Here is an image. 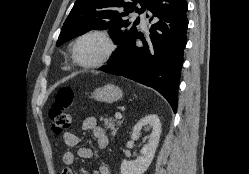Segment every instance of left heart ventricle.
Instances as JSON below:
<instances>
[{
    "label": "left heart ventricle",
    "instance_id": "1",
    "mask_svg": "<svg viewBox=\"0 0 249 174\" xmlns=\"http://www.w3.org/2000/svg\"><path fill=\"white\" fill-rule=\"evenodd\" d=\"M106 51L104 40L98 36L83 39L77 48L79 59L84 63H91L100 59Z\"/></svg>",
    "mask_w": 249,
    "mask_h": 174
}]
</instances>
